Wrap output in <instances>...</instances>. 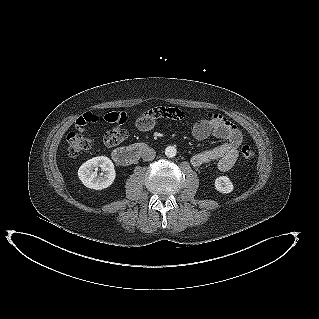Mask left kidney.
Segmentation results:
<instances>
[{"label":"left kidney","mask_w":319,"mask_h":319,"mask_svg":"<svg viewBox=\"0 0 319 319\" xmlns=\"http://www.w3.org/2000/svg\"><path fill=\"white\" fill-rule=\"evenodd\" d=\"M215 188L223 194L233 191V184L227 176H220L215 179Z\"/></svg>","instance_id":"obj_1"}]
</instances>
